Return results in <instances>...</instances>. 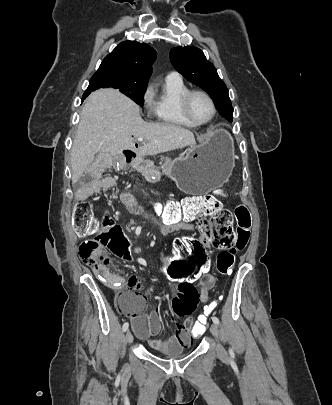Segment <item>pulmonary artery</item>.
Segmentation results:
<instances>
[{
    "instance_id": "e3ab8cb5",
    "label": "pulmonary artery",
    "mask_w": 332,
    "mask_h": 405,
    "mask_svg": "<svg viewBox=\"0 0 332 405\" xmlns=\"http://www.w3.org/2000/svg\"><path fill=\"white\" fill-rule=\"evenodd\" d=\"M168 78L180 79V76L177 72H171L167 75Z\"/></svg>"
}]
</instances>
